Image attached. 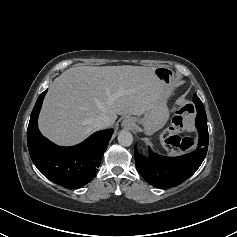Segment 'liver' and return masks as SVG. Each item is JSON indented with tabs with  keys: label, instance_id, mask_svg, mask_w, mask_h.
<instances>
[{
	"label": "liver",
	"instance_id": "liver-1",
	"mask_svg": "<svg viewBox=\"0 0 237 237\" xmlns=\"http://www.w3.org/2000/svg\"><path fill=\"white\" fill-rule=\"evenodd\" d=\"M155 69L130 65L67 69L49 87L40 131L52 142L69 146L95 132L93 122L100 116L114 124L117 115L144 114L161 88Z\"/></svg>",
	"mask_w": 237,
	"mask_h": 237
}]
</instances>
